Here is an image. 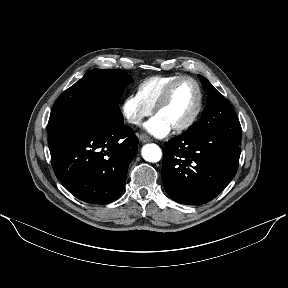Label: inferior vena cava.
Here are the masks:
<instances>
[{
  "mask_svg": "<svg viewBox=\"0 0 288 288\" xmlns=\"http://www.w3.org/2000/svg\"><path fill=\"white\" fill-rule=\"evenodd\" d=\"M132 122H133V123H134V122H135V123H138V122H139V120H133Z\"/></svg>",
  "mask_w": 288,
  "mask_h": 288,
  "instance_id": "1",
  "label": "inferior vena cava"
}]
</instances>
